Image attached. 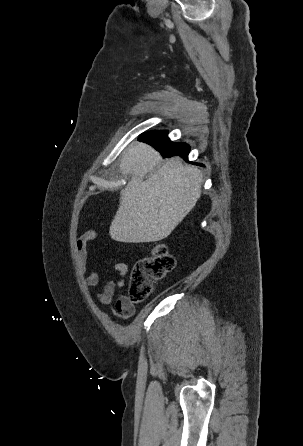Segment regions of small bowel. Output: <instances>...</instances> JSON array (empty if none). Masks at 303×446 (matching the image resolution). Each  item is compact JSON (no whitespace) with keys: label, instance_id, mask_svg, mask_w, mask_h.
<instances>
[{"label":"small bowel","instance_id":"c3829d8e","mask_svg":"<svg viewBox=\"0 0 303 446\" xmlns=\"http://www.w3.org/2000/svg\"><path fill=\"white\" fill-rule=\"evenodd\" d=\"M97 233L94 230L85 231L76 241V254L77 262L81 275L84 278V282L89 287H94L99 283L100 276L96 271L87 273V260H88V246L95 241ZM115 271L119 274L120 279L109 280L105 283L102 290L96 294L98 301L106 306H109L113 316L118 319L124 320L134 315L135 307L127 301V298L119 294L117 296L115 306L112 307L116 290L124 286V277L128 273V266L125 263L119 262L115 264Z\"/></svg>","mask_w":303,"mask_h":446}]
</instances>
